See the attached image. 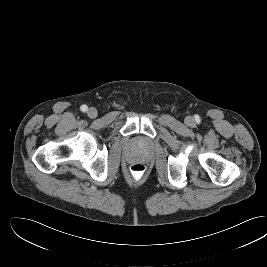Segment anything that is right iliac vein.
Returning a JSON list of instances; mask_svg holds the SVG:
<instances>
[{
    "label": "right iliac vein",
    "instance_id": "63e3f726",
    "mask_svg": "<svg viewBox=\"0 0 267 267\" xmlns=\"http://www.w3.org/2000/svg\"><path fill=\"white\" fill-rule=\"evenodd\" d=\"M87 115H88L89 118H92V119H93V118H96L97 115H98V111H97L96 108L91 107V108L88 109V111H87Z\"/></svg>",
    "mask_w": 267,
    "mask_h": 267
}]
</instances>
